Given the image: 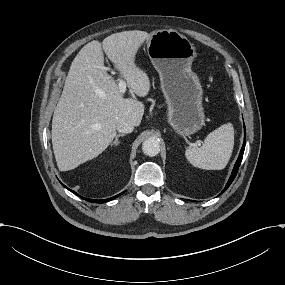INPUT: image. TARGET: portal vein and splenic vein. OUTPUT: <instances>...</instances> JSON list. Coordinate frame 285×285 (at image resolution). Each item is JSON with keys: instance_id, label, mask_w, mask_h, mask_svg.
Returning <instances> with one entry per match:
<instances>
[{"instance_id": "portal-vein-and-splenic-vein-1", "label": "portal vein and splenic vein", "mask_w": 285, "mask_h": 285, "mask_svg": "<svg viewBox=\"0 0 285 285\" xmlns=\"http://www.w3.org/2000/svg\"><path fill=\"white\" fill-rule=\"evenodd\" d=\"M106 68V67H105ZM112 74H115V72H113L112 71ZM118 81H119V83H118V87H119V91L121 92V93H125L126 92V82L123 80V79H121V78H119L118 79ZM201 143H196V145H200Z\"/></svg>"}]
</instances>
